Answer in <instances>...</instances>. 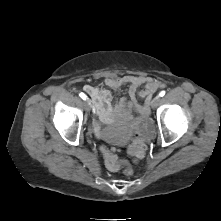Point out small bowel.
<instances>
[{
    "mask_svg": "<svg viewBox=\"0 0 221 221\" xmlns=\"http://www.w3.org/2000/svg\"><path fill=\"white\" fill-rule=\"evenodd\" d=\"M128 86L130 101H113L110 89L118 90L123 86ZM162 84L151 77L139 75H125L120 77H108L103 80V87L85 85L84 91L92 99L94 109L97 113L99 122L95 125L96 135L100 133V123L110 121L116 115L123 119H130V111L134 109L139 115L146 116L147 107L136 103L138 95L141 98L148 99L154 94Z\"/></svg>",
    "mask_w": 221,
    "mask_h": 221,
    "instance_id": "c3829d8e",
    "label": "small bowel"
}]
</instances>
